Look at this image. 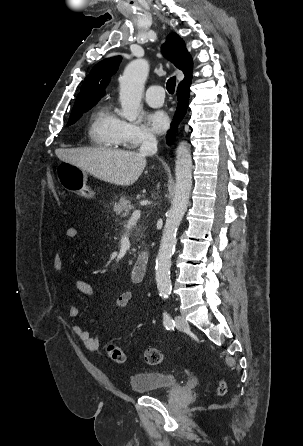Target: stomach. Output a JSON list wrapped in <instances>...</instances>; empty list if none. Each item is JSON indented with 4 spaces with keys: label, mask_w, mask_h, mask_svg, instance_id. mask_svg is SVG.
<instances>
[{
    "label": "stomach",
    "mask_w": 303,
    "mask_h": 446,
    "mask_svg": "<svg viewBox=\"0 0 303 446\" xmlns=\"http://www.w3.org/2000/svg\"><path fill=\"white\" fill-rule=\"evenodd\" d=\"M56 175L64 189L87 199L94 197L95 192L87 185V171L63 161L57 166Z\"/></svg>",
    "instance_id": "1"
}]
</instances>
